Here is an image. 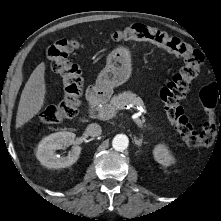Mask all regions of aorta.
<instances>
[{
    "label": "aorta",
    "instance_id": "aorta-1",
    "mask_svg": "<svg viewBox=\"0 0 221 221\" xmlns=\"http://www.w3.org/2000/svg\"><path fill=\"white\" fill-rule=\"evenodd\" d=\"M128 144V137L124 134H118L112 140V146L116 151H124L128 147Z\"/></svg>",
    "mask_w": 221,
    "mask_h": 221
}]
</instances>
